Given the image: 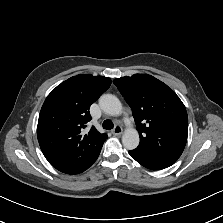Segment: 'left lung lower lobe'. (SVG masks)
<instances>
[{
    "label": "left lung lower lobe",
    "mask_w": 223,
    "mask_h": 223,
    "mask_svg": "<svg viewBox=\"0 0 223 223\" xmlns=\"http://www.w3.org/2000/svg\"><path fill=\"white\" fill-rule=\"evenodd\" d=\"M129 154L133 159H135L137 162H139L141 165H143L146 168L153 169V170H159L164 169L169 166H171L174 162L165 161V160H159L150 158L144 155L136 154L134 151H129Z\"/></svg>",
    "instance_id": "1"
}]
</instances>
